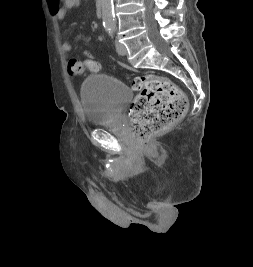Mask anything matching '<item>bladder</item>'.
Segmentation results:
<instances>
[{
	"label": "bladder",
	"instance_id": "obj_1",
	"mask_svg": "<svg viewBox=\"0 0 253 267\" xmlns=\"http://www.w3.org/2000/svg\"><path fill=\"white\" fill-rule=\"evenodd\" d=\"M131 98L132 92L127 85L104 74L89 75L80 88L85 120L93 127L114 122Z\"/></svg>",
	"mask_w": 253,
	"mask_h": 267
}]
</instances>
